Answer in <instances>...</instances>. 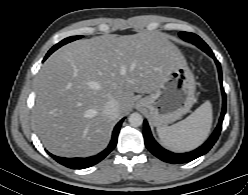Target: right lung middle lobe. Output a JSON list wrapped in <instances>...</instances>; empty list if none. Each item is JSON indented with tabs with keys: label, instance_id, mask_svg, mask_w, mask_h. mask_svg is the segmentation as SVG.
I'll use <instances>...</instances> for the list:
<instances>
[{
	"label": "right lung middle lobe",
	"instance_id": "right-lung-middle-lobe-1",
	"mask_svg": "<svg viewBox=\"0 0 248 195\" xmlns=\"http://www.w3.org/2000/svg\"><path fill=\"white\" fill-rule=\"evenodd\" d=\"M82 36H71V37H68V38H65L64 40H62L61 42H59L58 44L54 45L50 50L49 52L47 53L46 57L44 59H46L51 53H53L55 50H57L58 48H60L61 46L69 43V42H72L74 40H77V39H80Z\"/></svg>",
	"mask_w": 248,
	"mask_h": 195
}]
</instances>
